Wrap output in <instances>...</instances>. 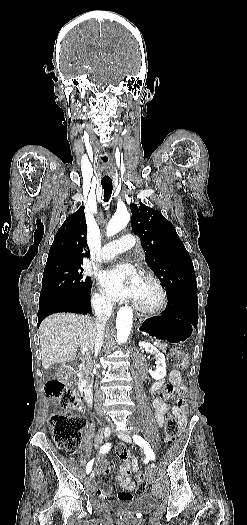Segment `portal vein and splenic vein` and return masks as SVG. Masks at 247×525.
Returning a JSON list of instances; mask_svg holds the SVG:
<instances>
[{
	"instance_id": "obj_1",
	"label": "portal vein and splenic vein",
	"mask_w": 247,
	"mask_h": 525,
	"mask_svg": "<svg viewBox=\"0 0 247 525\" xmlns=\"http://www.w3.org/2000/svg\"><path fill=\"white\" fill-rule=\"evenodd\" d=\"M153 346H159V343H153ZM82 351H88V349H85V347H83Z\"/></svg>"
}]
</instances>
